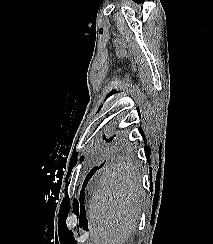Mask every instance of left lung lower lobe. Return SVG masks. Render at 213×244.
I'll use <instances>...</instances> for the list:
<instances>
[{"label": "left lung lower lobe", "mask_w": 213, "mask_h": 244, "mask_svg": "<svg viewBox=\"0 0 213 244\" xmlns=\"http://www.w3.org/2000/svg\"><path fill=\"white\" fill-rule=\"evenodd\" d=\"M104 163H102L99 167H94L87 175L86 179L84 180L83 183V189L86 187L88 184L89 179L92 177V175L96 172V170L100 169L103 166Z\"/></svg>", "instance_id": "obj_1"}]
</instances>
